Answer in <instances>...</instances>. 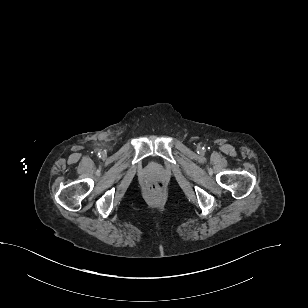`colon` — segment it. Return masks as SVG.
<instances>
[{"label": "colon", "mask_w": 308, "mask_h": 308, "mask_svg": "<svg viewBox=\"0 0 308 308\" xmlns=\"http://www.w3.org/2000/svg\"><path fill=\"white\" fill-rule=\"evenodd\" d=\"M148 188L153 192H159L163 190L164 183L161 180L152 181L148 184Z\"/></svg>", "instance_id": "5ec220e1"}]
</instances>
